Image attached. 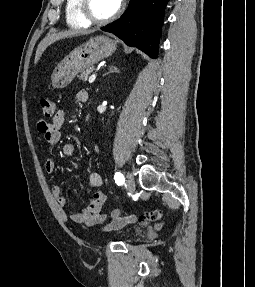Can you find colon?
<instances>
[{"label": "colon", "mask_w": 255, "mask_h": 287, "mask_svg": "<svg viewBox=\"0 0 255 287\" xmlns=\"http://www.w3.org/2000/svg\"><path fill=\"white\" fill-rule=\"evenodd\" d=\"M41 109L43 115L47 118L52 117L55 111V104L53 101L47 98H43L40 101ZM124 212L121 209L112 210L109 215L112 219H117L123 217Z\"/></svg>", "instance_id": "obj_1"}]
</instances>
